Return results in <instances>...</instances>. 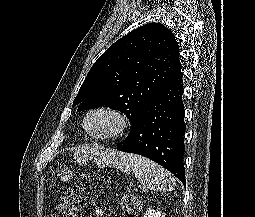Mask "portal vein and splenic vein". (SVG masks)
<instances>
[{"label":"portal vein and splenic vein","instance_id":"obj_1","mask_svg":"<svg viewBox=\"0 0 255 217\" xmlns=\"http://www.w3.org/2000/svg\"><path fill=\"white\" fill-rule=\"evenodd\" d=\"M147 189L146 188H143V191H146Z\"/></svg>","mask_w":255,"mask_h":217}]
</instances>
